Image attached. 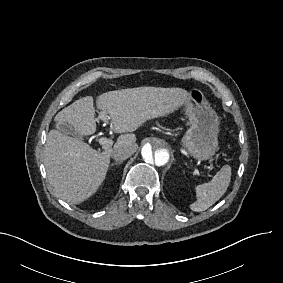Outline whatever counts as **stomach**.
<instances>
[{
    "instance_id": "obj_1",
    "label": "stomach",
    "mask_w": 283,
    "mask_h": 283,
    "mask_svg": "<svg viewBox=\"0 0 283 283\" xmlns=\"http://www.w3.org/2000/svg\"><path fill=\"white\" fill-rule=\"evenodd\" d=\"M190 100L184 104L190 128L182 145L196 159L207 160L218 151L219 118L201 90H190Z\"/></svg>"
}]
</instances>
